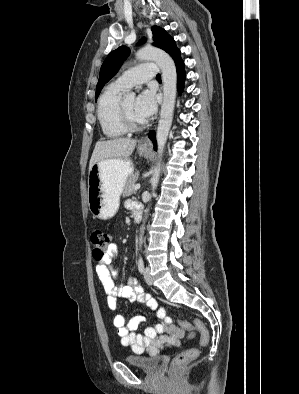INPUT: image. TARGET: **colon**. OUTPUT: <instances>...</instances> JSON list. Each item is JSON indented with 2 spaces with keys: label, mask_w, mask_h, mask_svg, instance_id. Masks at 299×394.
<instances>
[{
  "label": "colon",
  "mask_w": 299,
  "mask_h": 394,
  "mask_svg": "<svg viewBox=\"0 0 299 394\" xmlns=\"http://www.w3.org/2000/svg\"><path fill=\"white\" fill-rule=\"evenodd\" d=\"M90 242L92 245V254L97 259H102L108 252L109 247L111 245V237L109 233L102 229H95L90 234ZM180 326L189 331L190 337H192L195 332L200 334V345L205 347L209 344L210 334L208 329L202 323V321L198 318L195 319L194 325L181 321ZM198 356V350L196 348L187 349L181 353H179L173 359V366L180 367L186 365L187 363L193 361Z\"/></svg>",
  "instance_id": "obj_1"
}]
</instances>
